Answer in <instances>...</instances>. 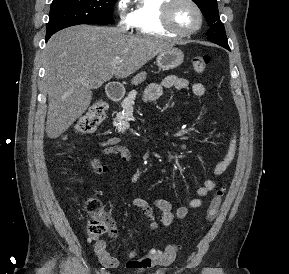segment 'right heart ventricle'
Instances as JSON below:
<instances>
[{
    "instance_id": "1",
    "label": "right heart ventricle",
    "mask_w": 289,
    "mask_h": 274,
    "mask_svg": "<svg viewBox=\"0 0 289 274\" xmlns=\"http://www.w3.org/2000/svg\"><path fill=\"white\" fill-rule=\"evenodd\" d=\"M167 0H135L130 13L131 26L139 34L174 37L161 21L162 7Z\"/></svg>"
}]
</instances>
